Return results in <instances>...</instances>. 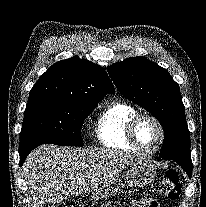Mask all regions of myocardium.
<instances>
[{
  "label": "myocardium",
  "instance_id": "f54148a6",
  "mask_svg": "<svg viewBox=\"0 0 206 207\" xmlns=\"http://www.w3.org/2000/svg\"><path fill=\"white\" fill-rule=\"evenodd\" d=\"M143 119H150L152 120L158 127L159 132H160V139L159 142L157 144V146L151 150H145L143 148H141L137 142L136 139V128L139 124V122ZM126 136H127V141L129 143V145L138 153L142 154V155H153L155 153H157L162 146L165 143V139H166V132H165V128L162 124V122L154 115L149 114V113H138L137 115H135L128 123L127 125V129H126Z\"/></svg>",
  "mask_w": 206,
  "mask_h": 207
}]
</instances>
